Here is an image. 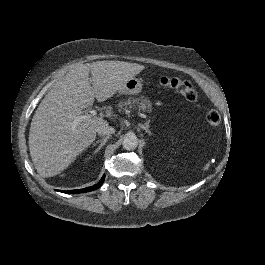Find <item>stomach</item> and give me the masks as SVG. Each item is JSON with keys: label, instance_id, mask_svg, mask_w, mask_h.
<instances>
[{"label": "stomach", "instance_id": "1", "mask_svg": "<svg viewBox=\"0 0 265 265\" xmlns=\"http://www.w3.org/2000/svg\"><path fill=\"white\" fill-rule=\"evenodd\" d=\"M141 89V82L137 78H128L116 89L118 94H134Z\"/></svg>", "mask_w": 265, "mask_h": 265}]
</instances>
